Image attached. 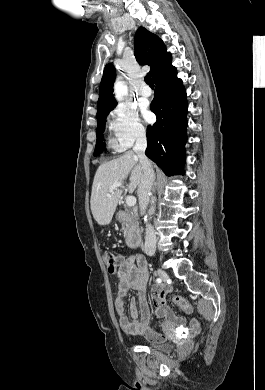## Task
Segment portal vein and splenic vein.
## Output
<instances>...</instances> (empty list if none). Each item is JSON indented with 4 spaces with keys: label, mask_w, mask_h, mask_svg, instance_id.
<instances>
[{
    "label": "portal vein and splenic vein",
    "mask_w": 265,
    "mask_h": 390,
    "mask_svg": "<svg viewBox=\"0 0 265 390\" xmlns=\"http://www.w3.org/2000/svg\"><path fill=\"white\" fill-rule=\"evenodd\" d=\"M118 187H122V183L121 182H116L114 183L111 188L109 189V193L107 194V196H110V194ZM126 204L127 206L129 207H132V206H135L136 204V198L134 196H128L126 198Z\"/></svg>",
    "instance_id": "portal-vein-and-splenic-vein-1"
}]
</instances>
